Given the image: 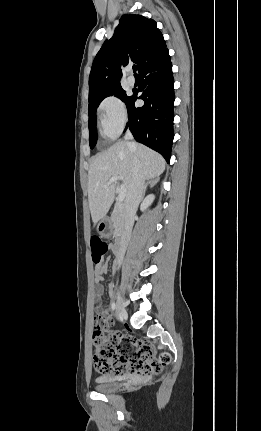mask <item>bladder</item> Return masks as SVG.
<instances>
[{
    "mask_svg": "<svg viewBox=\"0 0 261 431\" xmlns=\"http://www.w3.org/2000/svg\"><path fill=\"white\" fill-rule=\"evenodd\" d=\"M122 378L117 375L104 373L96 377L95 389L99 392L108 393L114 392L121 388Z\"/></svg>",
    "mask_w": 261,
    "mask_h": 431,
    "instance_id": "bladder-1",
    "label": "bladder"
}]
</instances>
